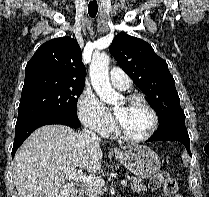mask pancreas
I'll list each match as a JSON object with an SVG mask.
<instances>
[{
  "mask_svg": "<svg viewBox=\"0 0 209 197\" xmlns=\"http://www.w3.org/2000/svg\"><path fill=\"white\" fill-rule=\"evenodd\" d=\"M131 188L134 192H144L146 191V186L143 184L140 178L132 177ZM104 193V189L97 185H87L85 188L86 197H99Z\"/></svg>",
  "mask_w": 209,
  "mask_h": 197,
  "instance_id": "cf45deb5",
  "label": "pancreas"
}]
</instances>
